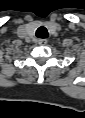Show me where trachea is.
I'll return each mask as SVG.
<instances>
[{"instance_id":"3493384b","label":"trachea","mask_w":85,"mask_h":118,"mask_svg":"<svg viewBox=\"0 0 85 118\" xmlns=\"http://www.w3.org/2000/svg\"><path fill=\"white\" fill-rule=\"evenodd\" d=\"M48 36L49 34L45 27H39L36 30V37L44 39V38H48Z\"/></svg>"}]
</instances>
